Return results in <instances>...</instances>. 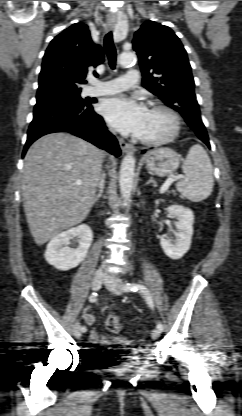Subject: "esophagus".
I'll list each match as a JSON object with an SVG mask.
<instances>
[{"mask_svg": "<svg viewBox=\"0 0 242 416\" xmlns=\"http://www.w3.org/2000/svg\"><path fill=\"white\" fill-rule=\"evenodd\" d=\"M107 26H108L109 29H114L115 22H108ZM119 145H120L121 149L123 150V152H133L135 150L134 146L132 144L127 143L122 139H119Z\"/></svg>", "mask_w": 242, "mask_h": 416, "instance_id": "34e87169", "label": "esophagus"}]
</instances>
